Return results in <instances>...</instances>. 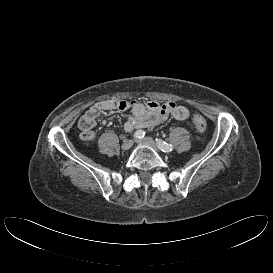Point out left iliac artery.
I'll use <instances>...</instances> for the list:
<instances>
[{"mask_svg": "<svg viewBox=\"0 0 273 273\" xmlns=\"http://www.w3.org/2000/svg\"><path fill=\"white\" fill-rule=\"evenodd\" d=\"M156 141H157V144H158V147L163 151V152H170L173 150V147L172 145L166 143L165 141L161 140V139H157L156 138Z\"/></svg>", "mask_w": 273, "mask_h": 273, "instance_id": "obj_1", "label": "left iliac artery"}]
</instances>
